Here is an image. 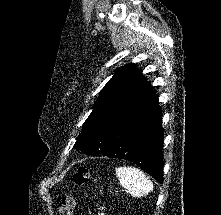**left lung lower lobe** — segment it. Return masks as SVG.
Returning <instances> with one entry per match:
<instances>
[{
	"label": "left lung lower lobe",
	"instance_id": "1",
	"mask_svg": "<svg viewBox=\"0 0 221 215\" xmlns=\"http://www.w3.org/2000/svg\"><path fill=\"white\" fill-rule=\"evenodd\" d=\"M163 134L158 97L150 87L115 126L102 155L129 160L162 184Z\"/></svg>",
	"mask_w": 221,
	"mask_h": 215
}]
</instances>
